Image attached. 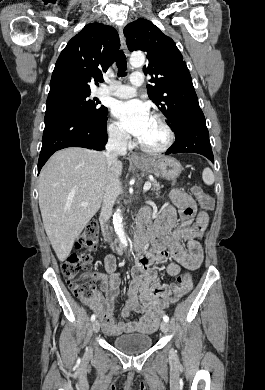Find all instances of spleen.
<instances>
[{
	"instance_id": "3e777b00",
	"label": "spleen",
	"mask_w": 265,
	"mask_h": 390,
	"mask_svg": "<svg viewBox=\"0 0 265 390\" xmlns=\"http://www.w3.org/2000/svg\"><path fill=\"white\" fill-rule=\"evenodd\" d=\"M202 178L205 184L212 185L215 181L214 174L210 168H205L202 172Z\"/></svg>"
}]
</instances>
